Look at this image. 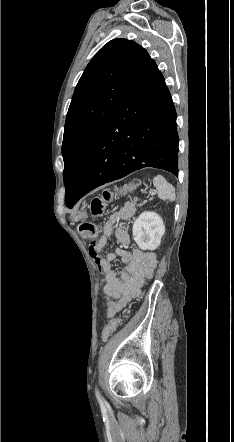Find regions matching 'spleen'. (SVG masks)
Returning <instances> with one entry per match:
<instances>
[{
  "label": "spleen",
  "instance_id": "1",
  "mask_svg": "<svg viewBox=\"0 0 234 442\" xmlns=\"http://www.w3.org/2000/svg\"><path fill=\"white\" fill-rule=\"evenodd\" d=\"M153 184L157 189L158 197L162 200H175V188L167 182L162 175H157L153 179Z\"/></svg>",
  "mask_w": 234,
  "mask_h": 442
}]
</instances>
